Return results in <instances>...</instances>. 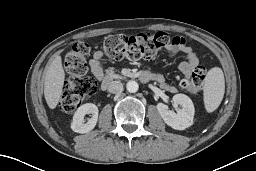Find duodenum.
Instances as JSON below:
<instances>
[{"mask_svg": "<svg viewBox=\"0 0 256 171\" xmlns=\"http://www.w3.org/2000/svg\"><path fill=\"white\" fill-rule=\"evenodd\" d=\"M118 78H120V76H119L118 74H115V73L106 76V77L102 80V82H101V89H102L103 91H106V90L108 89L110 83H111L113 80L118 79ZM138 78H139V80L142 81V82H148L149 80H151V76H150L149 74H147V73L141 74Z\"/></svg>", "mask_w": 256, "mask_h": 171, "instance_id": "1", "label": "duodenum"}]
</instances>
